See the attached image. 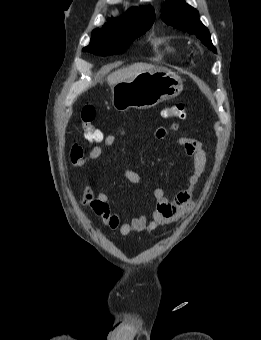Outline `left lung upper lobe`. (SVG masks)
<instances>
[{"mask_svg":"<svg viewBox=\"0 0 261 340\" xmlns=\"http://www.w3.org/2000/svg\"><path fill=\"white\" fill-rule=\"evenodd\" d=\"M161 18L182 31L195 34L204 45L217 53L210 38L209 30L199 20L198 11L186 4L184 0H167L164 4Z\"/></svg>","mask_w":261,"mask_h":340,"instance_id":"obj_1","label":"left lung upper lobe"}]
</instances>
